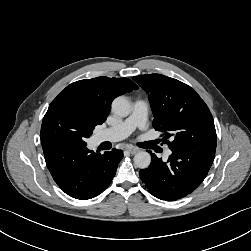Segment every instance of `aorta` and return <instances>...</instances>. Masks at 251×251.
Returning a JSON list of instances; mask_svg holds the SVG:
<instances>
[{
  "instance_id": "762f6f07",
  "label": "aorta",
  "mask_w": 251,
  "mask_h": 251,
  "mask_svg": "<svg viewBox=\"0 0 251 251\" xmlns=\"http://www.w3.org/2000/svg\"><path fill=\"white\" fill-rule=\"evenodd\" d=\"M111 107L112 112L120 117H126L131 112L130 102L123 96L115 98ZM134 163L140 169L148 168L151 163V155L146 151H140L134 156Z\"/></svg>"
}]
</instances>
